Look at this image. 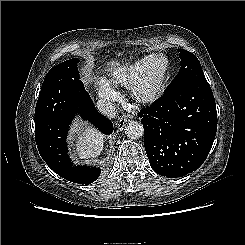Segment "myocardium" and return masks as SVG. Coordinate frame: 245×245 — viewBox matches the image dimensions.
Segmentation results:
<instances>
[{
	"label": "myocardium",
	"instance_id": "obj_1",
	"mask_svg": "<svg viewBox=\"0 0 245 245\" xmlns=\"http://www.w3.org/2000/svg\"><path fill=\"white\" fill-rule=\"evenodd\" d=\"M160 59L163 61V68L157 80L153 85H150L149 74L151 64L154 60ZM170 73V64L166 56L162 54H153L149 56L143 70L132 84V98L139 104L148 105L157 101L165 89Z\"/></svg>",
	"mask_w": 245,
	"mask_h": 245
}]
</instances>
